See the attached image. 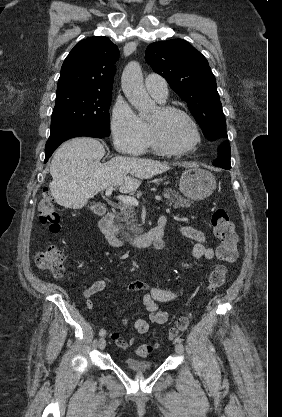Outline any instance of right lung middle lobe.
<instances>
[{"mask_svg":"<svg viewBox=\"0 0 282 417\" xmlns=\"http://www.w3.org/2000/svg\"><path fill=\"white\" fill-rule=\"evenodd\" d=\"M111 98V92L95 90L57 93L51 119V132L79 125L109 136L108 111Z\"/></svg>","mask_w":282,"mask_h":417,"instance_id":"dd1d6c3e","label":"right lung middle lobe"}]
</instances>
